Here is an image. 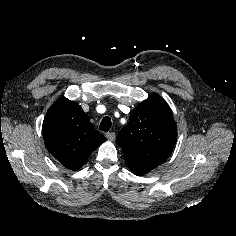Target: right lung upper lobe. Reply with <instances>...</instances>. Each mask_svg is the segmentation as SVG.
<instances>
[{"label":"right lung upper lobe","instance_id":"obj_1","mask_svg":"<svg viewBox=\"0 0 236 236\" xmlns=\"http://www.w3.org/2000/svg\"><path fill=\"white\" fill-rule=\"evenodd\" d=\"M42 133L47 150L66 168L79 169L105 141L78 103L59 98L44 118Z\"/></svg>","mask_w":236,"mask_h":236}]
</instances>
